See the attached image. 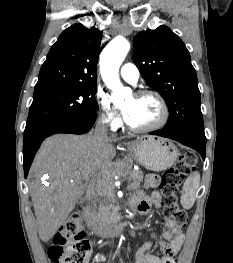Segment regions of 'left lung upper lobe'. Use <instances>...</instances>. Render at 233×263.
<instances>
[{
	"instance_id": "5c2ea615",
	"label": "left lung upper lobe",
	"mask_w": 233,
	"mask_h": 263,
	"mask_svg": "<svg viewBox=\"0 0 233 263\" xmlns=\"http://www.w3.org/2000/svg\"><path fill=\"white\" fill-rule=\"evenodd\" d=\"M134 48V62L141 75L168 105L165 128L205 136L196 71L182 40L162 25L138 33Z\"/></svg>"
}]
</instances>
